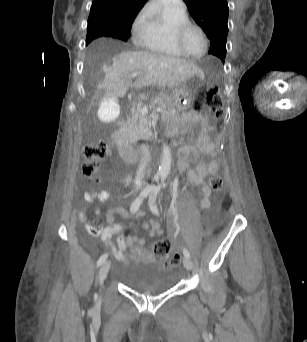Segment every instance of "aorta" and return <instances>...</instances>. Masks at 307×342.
<instances>
[{
  "label": "aorta",
  "mask_w": 307,
  "mask_h": 342,
  "mask_svg": "<svg viewBox=\"0 0 307 342\" xmlns=\"http://www.w3.org/2000/svg\"><path fill=\"white\" fill-rule=\"evenodd\" d=\"M171 166H172L171 150L169 146H166V144H163L162 160L157 170L156 176H160V178H167L168 174H170Z\"/></svg>",
  "instance_id": "obj_1"
}]
</instances>
